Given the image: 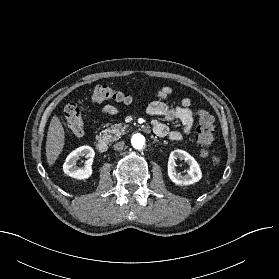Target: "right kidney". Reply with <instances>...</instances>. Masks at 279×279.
<instances>
[{
    "label": "right kidney",
    "instance_id": "ca27d5eb",
    "mask_svg": "<svg viewBox=\"0 0 279 279\" xmlns=\"http://www.w3.org/2000/svg\"><path fill=\"white\" fill-rule=\"evenodd\" d=\"M85 156L88 159L87 164L84 167H77L76 162L77 160ZM95 156V152L92 147L90 146H81L76 150L72 151L66 158L65 163L63 165V171L70 177L84 180L89 178L92 175V162Z\"/></svg>",
    "mask_w": 279,
    "mask_h": 279
}]
</instances>
